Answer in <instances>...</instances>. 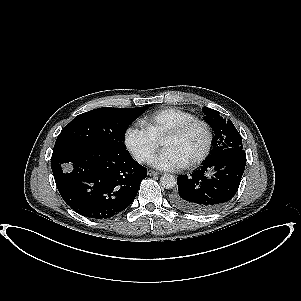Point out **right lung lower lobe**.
<instances>
[{"mask_svg": "<svg viewBox=\"0 0 301 301\" xmlns=\"http://www.w3.org/2000/svg\"><path fill=\"white\" fill-rule=\"evenodd\" d=\"M51 167L64 201L88 218L106 219L125 210L147 169L127 151L82 143L53 150Z\"/></svg>", "mask_w": 301, "mask_h": 301, "instance_id": "right-lung-lower-lobe-1", "label": "right lung lower lobe"}]
</instances>
